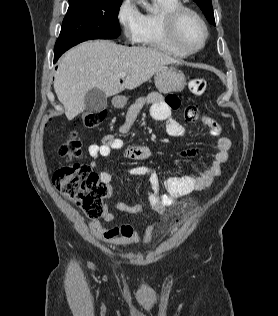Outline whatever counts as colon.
<instances>
[{
	"label": "colon",
	"mask_w": 278,
	"mask_h": 316,
	"mask_svg": "<svg viewBox=\"0 0 278 316\" xmlns=\"http://www.w3.org/2000/svg\"><path fill=\"white\" fill-rule=\"evenodd\" d=\"M206 87L207 81L204 78H194L189 82V90L196 96L202 95ZM104 119L105 112H85L82 115V122L87 128L98 127ZM59 154L69 162L83 155L81 141L75 132H71L60 146ZM52 181L55 188L73 200L89 218L97 219L103 215L108 188L89 166L71 163L61 167L54 173ZM178 219L175 217V221Z\"/></svg>",
	"instance_id": "1"
}]
</instances>
